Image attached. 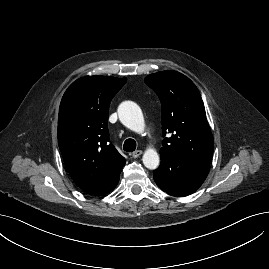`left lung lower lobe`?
Wrapping results in <instances>:
<instances>
[{
    "label": "left lung lower lobe",
    "instance_id": "left-lung-lower-lobe-1",
    "mask_svg": "<svg viewBox=\"0 0 269 269\" xmlns=\"http://www.w3.org/2000/svg\"><path fill=\"white\" fill-rule=\"evenodd\" d=\"M160 156L161 163L153 177L158 187L169 195L192 194L208 175L210 164L173 153L160 152Z\"/></svg>",
    "mask_w": 269,
    "mask_h": 269
}]
</instances>
